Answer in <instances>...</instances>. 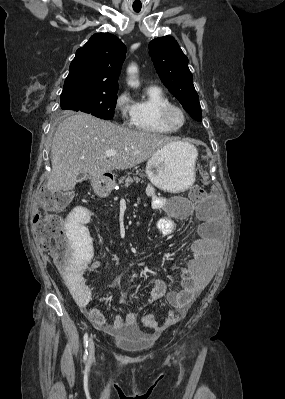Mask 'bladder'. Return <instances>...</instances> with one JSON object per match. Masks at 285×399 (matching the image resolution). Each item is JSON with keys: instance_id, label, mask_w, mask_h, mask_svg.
<instances>
[{"instance_id": "bladder-1", "label": "bladder", "mask_w": 285, "mask_h": 399, "mask_svg": "<svg viewBox=\"0 0 285 399\" xmlns=\"http://www.w3.org/2000/svg\"><path fill=\"white\" fill-rule=\"evenodd\" d=\"M114 342L123 350L131 353L147 351L152 343V339L146 334L139 333L135 337H119Z\"/></svg>"}]
</instances>
